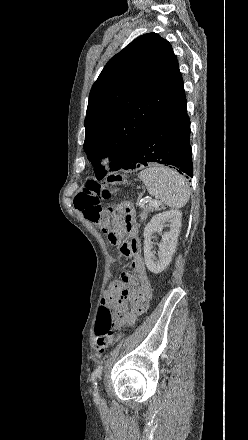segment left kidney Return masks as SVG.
Returning a JSON list of instances; mask_svg holds the SVG:
<instances>
[{
	"instance_id": "5707ae66",
	"label": "left kidney",
	"mask_w": 248,
	"mask_h": 440,
	"mask_svg": "<svg viewBox=\"0 0 248 440\" xmlns=\"http://www.w3.org/2000/svg\"><path fill=\"white\" fill-rule=\"evenodd\" d=\"M182 212L170 210L158 213L152 217L151 221L144 229V259L148 270L154 274L161 273L171 262L175 253L177 240L181 229ZM169 222L170 231L162 234V242L158 245V258L153 250L151 239L153 234L161 233L164 224Z\"/></svg>"
}]
</instances>
